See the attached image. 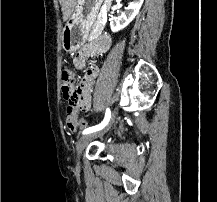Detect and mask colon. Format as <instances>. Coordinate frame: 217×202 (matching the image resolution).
Returning a JSON list of instances; mask_svg holds the SVG:
<instances>
[{"label": "colon", "instance_id": "1", "mask_svg": "<svg viewBox=\"0 0 217 202\" xmlns=\"http://www.w3.org/2000/svg\"><path fill=\"white\" fill-rule=\"evenodd\" d=\"M78 77L75 72L73 71H64L62 75L63 85H62V92L63 95L67 101L68 109L73 112L74 110L80 109V102H89L88 96H79L83 95V90H76V88L81 87H75V82H78ZM73 118L74 115L70 114L66 117V125L69 127L70 130H73L74 124H73ZM79 128L81 130H84L87 128V123L85 119L80 117V121H78Z\"/></svg>", "mask_w": 217, "mask_h": 202}]
</instances>
